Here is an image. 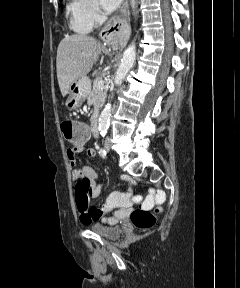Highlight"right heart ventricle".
Wrapping results in <instances>:
<instances>
[{
  "label": "right heart ventricle",
  "mask_w": 240,
  "mask_h": 288,
  "mask_svg": "<svg viewBox=\"0 0 240 288\" xmlns=\"http://www.w3.org/2000/svg\"><path fill=\"white\" fill-rule=\"evenodd\" d=\"M67 15L70 27L79 34L89 33L92 29L91 24L84 16L80 0H71L67 5Z\"/></svg>",
  "instance_id": "1"
}]
</instances>
